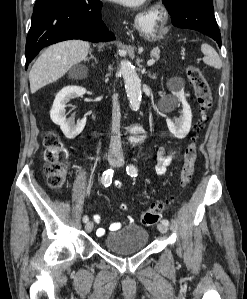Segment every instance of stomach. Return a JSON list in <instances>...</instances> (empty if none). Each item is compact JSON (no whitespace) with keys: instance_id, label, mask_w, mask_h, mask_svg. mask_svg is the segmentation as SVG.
I'll return each instance as SVG.
<instances>
[{"instance_id":"stomach-1","label":"stomach","mask_w":247,"mask_h":299,"mask_svg":"<svg viewBox=\"0 0 247 299\" xmlns=\"http://www.w3.org/2000/svg\"><path fill=\"white\" fill-rule=\"evenodd\" d=\"M142 31H144V32H147V31H146V30H144V29H143Z\"/></svg>"}]
</instances>
